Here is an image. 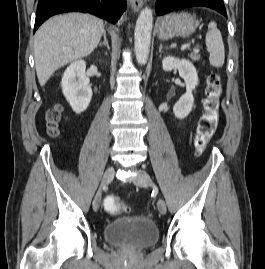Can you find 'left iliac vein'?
I'll return each instance as SVG.
<instances>
[{"label":"left iliac vein","mask_w":265,"mask_h":269,"mask_svg":"<svg viewBox=\"0 0 265 269\" xmlns=\"http://www.w3.org/2000/svg\"><path fill=\"white\" fill-rule=\"evenodd\" d=\"M137 173L138 175L133 181L135 185L140 186V187H148L152 185L151 178L146 171L137 170ZM157 208L162 215L166 214V211H167L166 203L162 198L158 199Z\"/></svg>","instance_id":"4c4485c4"}]
</instances>
